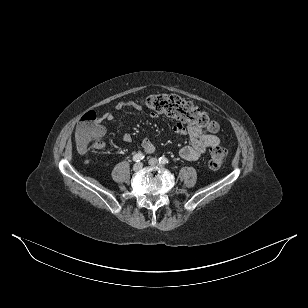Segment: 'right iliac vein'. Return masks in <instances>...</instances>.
Listing matches in <instances>:
<instances>
[{"instance_id": "obj_1", "label": "right iliac vein", "mask_w": 308, "mask_h": 308, "mask_svg": "<svg viewBox=\"0 0 308 308\" xmlns=\"http://www.w3.org/2000/svg\"><path fill=\"white\" fill-rule=\"evenodd\" d=\"M142 167H143L142 163H136V164L133 166V171L139 172V171L142 170Z\"/></svg>"}]
</instances>
